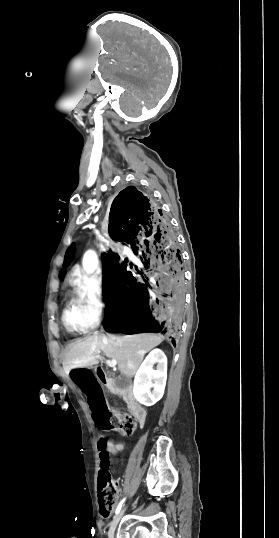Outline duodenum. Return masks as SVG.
Here are the masks:
<instances>
[{
  "mask_svg": "<svg viewBox=\"0 0 279 538\" xmlns=\"http://www.w3.org/2000/svg\"><path fill=\"white\" fill-rule=\"evenodd\" d=\"M94 378L98 380L100 385H103L105 388H112L113 386H115V383L112 382L113 378L109 373L107 366H103L102 364L96 366L94 370ZM132 390V383H128V386L125 390V394H123V399L128 400L126 409L128 413H131L132 417L135 419V422L137 423L136 427L142 429L144 427V424L147 422V419L145 418L146 414L145 411L141 409L139 402H136L134 395H131Z\"/></svg>",
  "mask_w": 279,
  "mask_h": 538,
  "instance_id": "410a0bca",
  "label": "duodenum"
}]
</instances>
